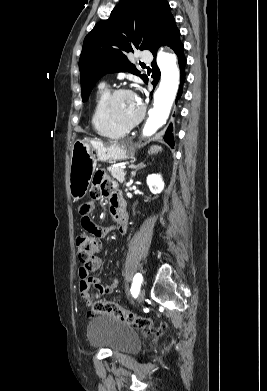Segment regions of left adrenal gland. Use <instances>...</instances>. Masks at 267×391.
I'll return each instance as SVG.
<instances>
[{
  "instance_id": "a2214340",
  "label": "left adrenal gland",
  "mask_w": 267,
  "mask_h": 391,
  "mask_svg": "<svg viewBox=\"0 0 267 391\" xmlns=\"http://www.w3.org/2000/svg\"><path fill=\"white\" fill-rule=\"evenodd\" d=\"M144 166H145V165H144L143 163L138 164V165L131 164V165L129 166V168L135 169L134 173L132 174V177L135 175V173H136L137 170H139V169H141V168H144Z\"/></svg>"
}]
</instances>
